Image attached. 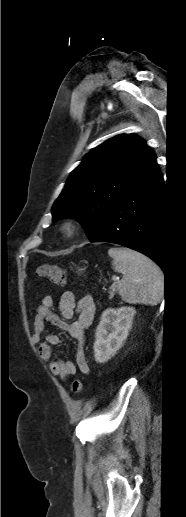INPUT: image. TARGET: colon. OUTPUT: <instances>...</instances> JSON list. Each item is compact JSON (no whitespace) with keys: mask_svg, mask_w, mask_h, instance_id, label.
I'll list each match as a JSON object with an SVG mask.
<instances>
[{"mask_svg":"<svg viewBox=\"0 0 186 517\" xmlns=\"http://www.w3.org/2000/svg\"><path fill=\"white\" fill-rule=\"evenodd\" d=\"M37 275L41 278L49 280L53 284L62 285L66 281V272L63 268L43 264L37 269ZM82 381L79 378H74L71 383V391L74 394H79L82 391Z\"/></svg>","mask_w":186,"mask_h":517,"instance_id":"obj_1","label":"colon"}]
</instances>
